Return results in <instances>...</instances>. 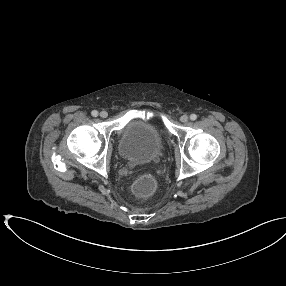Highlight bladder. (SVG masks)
<instances>
[{
  "label": "bladder",
  "mask_w": 286,
  "mask_h": 286,
  "mask_svg": "<svg viewBox=\"0 0 286 286\" xmlns=\"http://www.w3.org/2000/svg\"><path fill=\"white\" fill-rule=\"evenodd\" d=\"M164 143L160 130L153 121L133 120L123 129L119 154L131 164H146L158 160Z\"/></svg>",
  "instance_id": "1"
}]
</instances>
